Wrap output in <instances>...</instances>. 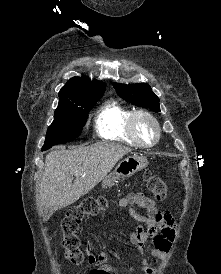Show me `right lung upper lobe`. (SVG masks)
<instances>
[{
  "mask_svg": "<svg viewBox=\"0 0 221 274\" xmlns=\"http://www.w3.org/2000/svg\"><path fill=\"white\" fill-rule=\"evenodd\" d=\"M106 89L102 81H91L86 77H73L59 92V103L74 101L78 98L103 94Z\"/></svg>",
  "mask_w": 221,
  "mask_h": 274,
  "instance_id": "cb5924a9",
  "label": "right lung upper lobe"
}]
</instances>
